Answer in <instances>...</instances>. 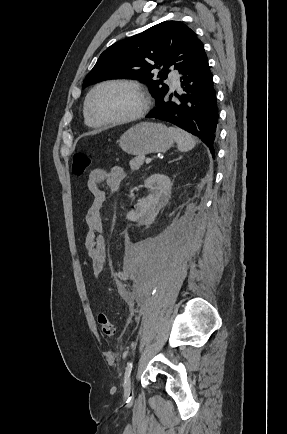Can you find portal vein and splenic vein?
Wrapping results in <instances>:
<instances>
[{"label":"portal vein and splenic vein","mask_w":287,"mask_h":434,"mask_svg":"<svg viewBox=\"0 0 287 434\" xmlns=\"http://www.w3.org/2000/svg\"><path fill=\"white\" fill-rule=\"evenodd\" d=\"M145 162H146L147 164H149V163L151 162V158H146V159H145Z\"/></svg>","instance_id":"18ae733b"}]
</instances>
